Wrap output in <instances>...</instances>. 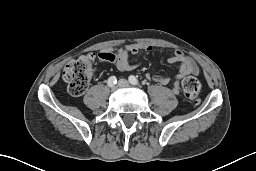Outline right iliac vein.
<instances>
[{
  "label": "right iliac vein",
  "instance_id": "1",
  "mask_svg": "<svg viewBox=\"0 0 256 171\" xmlns=\"http://www.w3.org/2000/svg\"><path fill=\"white\" fill-rule=\"evenodd\" d=\"M117 88H118V85H113V86H111V90H112V91H115Z\"/></svg>",
  "mask_w": 256,
  "mask_h": 171
}]
</instances>
